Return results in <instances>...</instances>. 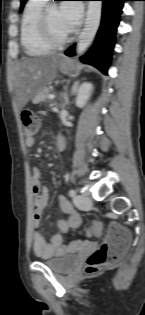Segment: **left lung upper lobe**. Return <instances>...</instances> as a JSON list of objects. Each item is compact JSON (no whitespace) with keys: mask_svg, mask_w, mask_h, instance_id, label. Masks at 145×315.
I'll return each mask as SVG.
<instances>
[{"mask_svg":"<svg viewBox=\"0 0 145 315\" xmlns=\"http://www.w3.org/2000/svg\"><path fill=\"white\" fill-rule=\"evenodd\" d=\"M27 0H21V6H20V11L23 10L24 4L26 3Z\"/></svg>","mask_w":145,"mask_h":315,"instance_id":"left-lung-upper-lobe-1","label":"left lung upper lobe"}]
</instances>
